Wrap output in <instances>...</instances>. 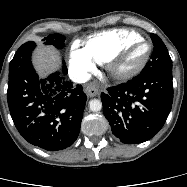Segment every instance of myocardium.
Wrapping results in <instances>:
<instances>
[{"label": "myocardium", "mask_w": 187, "mask_h": 187, "mask_svg": "<svg viewBox=\"0 0 187 187\" xmlns=\"http://www.w3.org/2000/svg\"><path fill=\"white\" fill-rule=\"evenodd\" d=\"M144 42L148 46L147 53L143 60L134 68L127 70V71H119L117 69V65L123 60L126 56L127 52L136 44ZM152 53V43L144 38L140 37L136 40L130 41L123 46H121L118 50H116L104 63L105 69L109 73V75L115 80H128L133 78L134 76L138 75L144 67L147 65Z\"/></svg>", "instance_id": "f54148a6"}]
</instances>
